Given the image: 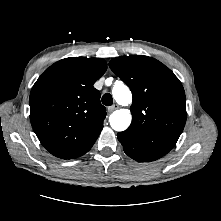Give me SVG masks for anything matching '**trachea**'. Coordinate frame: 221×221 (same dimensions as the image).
Listing matches in <instances>:
<instances>
[{
    "label": "trachea",
    "instance_id": "3493384b",
    "mask_svg": "<svg viewBox=\"0 0 221 221\" xmlns=\"http://www.w3.org/2000/svg\"><path fill=\"white\" fill-rule=\"evenodd\" d=\"M102 103L106 106H111L113 104V98H112L111 94L105 93L102 96Z\"/></svg>",
    "mask_w": 221,
    "mask_h": 221
}]
</instances>
